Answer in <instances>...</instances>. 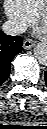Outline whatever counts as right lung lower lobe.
<instances>
[{"mask_svg":"<svg viewBox=\"0 0 47 129\" xmlns=\"http://www.w3.org/2000/svg\"><path fill=\"white\" fill-rule=\"evenodd\" d=\"M23 39L0 31V85L8 78L11 61L22 50Z\"/></svg>","mask_w":47,"mask_h":129,"instance_id":"98d812e1","label":"right lung lower lobe"}]
</instances>
